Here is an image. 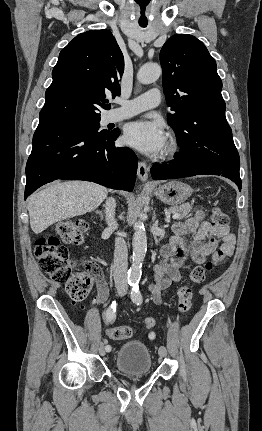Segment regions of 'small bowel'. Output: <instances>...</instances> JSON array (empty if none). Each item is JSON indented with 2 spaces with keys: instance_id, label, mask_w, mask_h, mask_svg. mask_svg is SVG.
I'll return each mask as SVG.
<instances>
[{
  "instance_id": "c3829d8e",
  "label": "small bowel",
  "mask_w": 262,
  "mask_h": 431,
  "mask_svg": "<svg viewBox=\"0 0 262 431\" xmlns=\"http://www.w3.org/2000/svg\"><path fill=\"white\" fill-rule=\"evenodd\" d=\"M203 218V212L198 210L185 221L173 224V234L160 251V260L154 271L155 280L150 286L152 298L156 304L162 303L163 290L173 283L181 281L180 270L187 257L196 263H202L209 256L218 258L220 252L225 256L232 255L236 241L229 227L227 225L214 227L210 222L203 221ZM187 235H193L192 240L188 243L184 241V237ZM217 239L222 240L219 247ZM108 295L107 284L99 279L94 302H103ZM149 337L155 339L156 334L150 332Z\"/></svg>"
}]
</instances>
